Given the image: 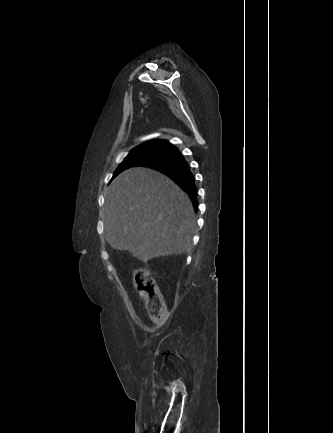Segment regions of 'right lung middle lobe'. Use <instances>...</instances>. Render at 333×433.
<instances>
[{
  "label": "right lung middle lobe",
  "mask_w": 333,
  "mask_h": 433,
  "mask_svg": "<svg viewBox=\"0 0 333 433\" xmlns=\"http://www.w3.org/2000/svg\"><path fill=\"white\" fill-rule=\"evenodd\" d=\"M172 150V147L166 146L162 143V141L158 140L143 143L130 151L128 156L114 172L113 178L129 167L141 166L143 164L157 160L168 155L172 152Z\"/></svg>",
  "instance_id": "1"
}]
</instances>
